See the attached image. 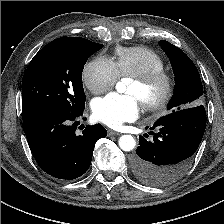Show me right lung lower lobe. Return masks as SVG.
<instances>
[{"label":"right lung lower lobe","instance_id":"obj_1","mask_svg":"<svg viewBox=\"0 0 224 224\" xmlns=\"http://www.w3.org/2000/svg\"><path fill=\"white\" fill-rule=\"evenodd\" d=\"M84 108L70 113L47 111L23 120L36 162L55 178L72 180L83 175L91 164L96 141L107 136L100 125H87L81 135L75 133Z\"/></svg>","mask_w":224,"mask_h":224}]
</instances>
